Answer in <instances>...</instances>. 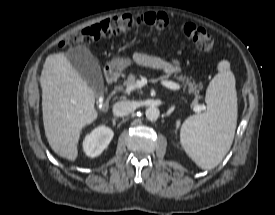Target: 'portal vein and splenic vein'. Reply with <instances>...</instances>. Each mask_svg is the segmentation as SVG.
Here are the masks:
<instances>
[{
  "mask_svg": "<svg viewBox=\"0 0 275 215\" xmlns=\"http://www.w3.org/2000/svg\"><path fill=\"white\" fill-rule=\"evenodd\" d=\"M160 83H161V85H163L164 87L169 88V89H171V90H179V89L181 88V86H180L179 84H177V83H175V82H173V81L162 80ZM140 87H142V83L139 81V82L135 83L133 86L128 87V88L125 90V93H130L132 90H134V89H136V88H140ZM193 110H194L195 112H198V113H199V112H201V111L204 110V107L197 104V105H195V106L193 107Z\"/></svg>",
  "mask_w": 275,
  "mask_h": 215,
  "instance_id": "obj_1",
  "label": "portal vein and splenic vein"
}]
</instances>
